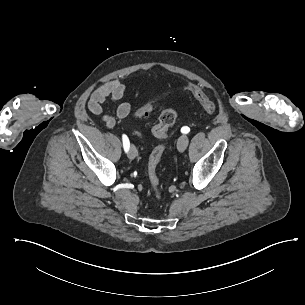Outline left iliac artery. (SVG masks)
<instances>
[{
  "label": "left iliac artery",
  "mask_w": 305,
  "mask_h": 305,
  "mask_svg": "<svg viewBox=\"0 0 305 305\" xmlns=\"http://www.w3.org/2000/svg\"><path fill=\"white\" fill-rule=\"evenodd\" d=\"M190 131V128L187 126H184L181 128V132L187 134Z\"/></svg>",
  "instance_id": "obj_1"
}]
</instances>
